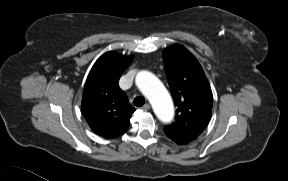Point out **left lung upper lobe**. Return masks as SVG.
Listing matches in <instances>:
<instances>
[{"instance_id":"left-lung-upper-lobe-1","label":"left lung upper lobe","mask_w":288,"mask_h":181,"mask_svg":"<svg viewBox=\"0 0 288 181\" xmlns=\"http://www.w3.org/2000/svg\"><path fill=\"white\" fill-rule=\"evenodd\" d=\"M166 76L177 108L176 121L165 133L197 137L208 125L213 96L197 59L183 46L163 51Z\"/></svg>"}]
</instances>
